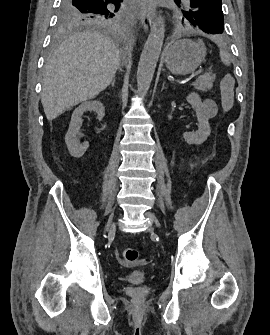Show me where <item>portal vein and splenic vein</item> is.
Here are the masks:
<instances>
[{
  "label": "portal vein and splenic vein",
  "mask_w": 270,
  "mask_h": 335,
  "mask_svg": "<svg viewBox=\"0 0 270 335\" xmlns=\"http://www.w3.org/2000/svg\"><path fill=\"white\" fill-rule=\"evenodd\" d=\"M200 73H197V72H194V71H191V76H189V79H193L194 77L198 78L200 75ZM192 81V80H190Z\"/></svg>",
  "instance_id": "obj_1"
}]
</instances>
